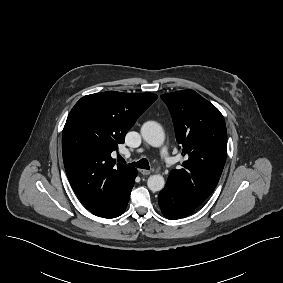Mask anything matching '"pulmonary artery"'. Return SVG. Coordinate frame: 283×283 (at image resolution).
Wrapping results in <instances>:
<instances>
[{
	"label": "pulmonary artery",
	"instance_id": "e3ab8cb5",
	"mask_svg": "<svg viewBox=\"0 0 283 283\" xmlns=\"http://www.w3.org/2000/svg\"><path fill=\"white\" fill-rule=\"evenodd\" d=\"M161 155L163 157V159L167 162V163H171L172 162V158L170 157L167 149H162L161 151Z\"/></svg>",
	"mask_w": 283,
	"mask_h": 283
}]
</instances>
